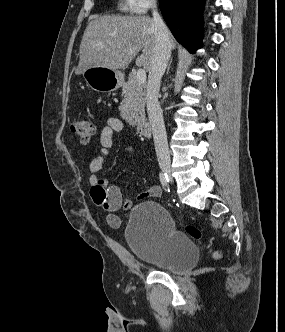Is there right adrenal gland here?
<instances>
[{
  "label": "right adrenal gland",
  "mask_w": 285,
  "mask_h": 332,
  "mask_svg": "<svg viewBox=\"0 0 285 332\" xmlns=\"http://www.w3.org/2000/svg\"><path fill=\"white\" fill-rule=\"evenodd\" d=\"M171 62H172V59L170 60V62H169V64H168V67H167V73L169 72Z\"/></svg>",
  "instance_id": "2a0ac1e0"
}]
</instances>
